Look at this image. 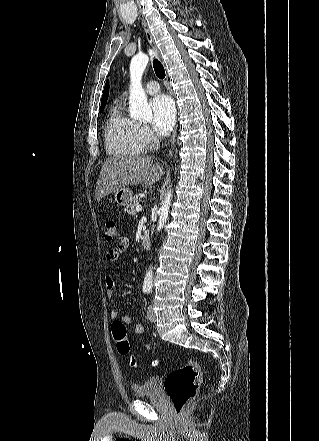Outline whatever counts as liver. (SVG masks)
<instances>
[{
  "mask_svg": "<svg viewBox=\"0 0 319 441\" xmlns=\"http://www.w3.org/2000/svg\"><path fill=\"white\" fill-rule=\"evenodd\" d=\"M165 174L159 163L153 165V159L145 155L109 157L99 175L95 190V200L115 193L129 185L144 183L150 186Z\"/></svg>",
  "mask_w": 319,
  "mask_h": 441,
  "instance_id": "obj_1",
  "label": "liver"
}]
</instances>
